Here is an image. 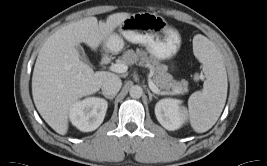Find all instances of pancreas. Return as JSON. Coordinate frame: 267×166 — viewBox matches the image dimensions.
<instances>
[{"instance_id": "1", "label": "pancreas", "mask_w": 267, "mask_h": 166, "mask_svg": "<svg viewBox=\"0 0 267 166\" xmlns=\"http://www.w3.org/2000/svg\"><path fill=\"white\" fill-rule=\"evenodd\" d=\"M121 61L126 65H133L138 63L140 66L147 67L153 78L154 84L165 91L178 90L179 93H185L187 89V81H176L167 73V66L159 63L153 56L148 57L145 51L137 49L136 51L126 50L121 56Z\"/></svg>"}]
</instances>
